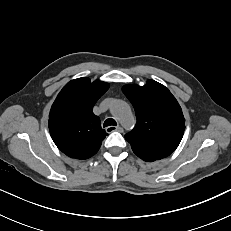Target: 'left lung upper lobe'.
I'll return each instance as SVG.
<instances>
[{
  "label": "left lung upper lobe",
  "mask_w": 231,
  "mask_h": 231,
  "mask_svg": "<svg viewBox=\"0 0 231 231\" xmlns=\"http://www.w3.org/2000/svg\"><path fill=\"white\" fill-rule=\"evenodd\" d=\"M122 90L136 113V126L125 135L133 152L144 161L169 156L178 147L185 129V119L175 97L154 80H148L142 87L125 85Z\"/></svg>",
  "instance_id": "left-lung-upper-lobe-1"
}]
</instances>
